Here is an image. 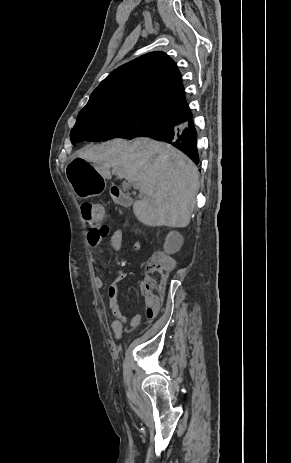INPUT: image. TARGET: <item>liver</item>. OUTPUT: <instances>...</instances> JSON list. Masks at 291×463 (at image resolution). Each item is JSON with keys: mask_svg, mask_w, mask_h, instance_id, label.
Masks as SVG:
<instances>
[{"mask_svg": "<svg viewBox=\"0 0 291 463\" xmlns=\"http://www.w3.org/2000/svg\"><path fill=\"white\" fill-rule=\"evenodd\" d=\"M77 157L91 162L104 179L110 168L119 179L137 183L140 200L133 204L136 218L147 226H188L199 189L194 163L170 144L150 138L114 139L88 146Z\"/></svg>", "mask_w": 291, "mask_h": 463, "instance_id": "obj_1", "label": "liver"}]
</instances>
